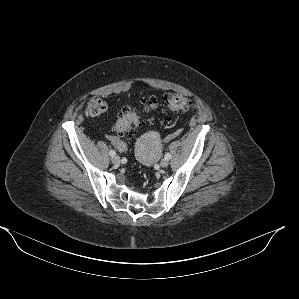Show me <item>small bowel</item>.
<instances>
[{
  "label": "small bowel",
  "instance_id": "c3829d8e",
  "mask_svg": "<svg viewBox=\"0 0 299 299\" xmlns=\"http://www.w3.org/2000/svg\"><path fill=\"white\" fill-rule=\"evenodd\" d=\"M139 106H142V103L139 104ZM107 139L116 147L117 142L120 140L117 136L114 135H108ZM120 151V150H119ZM123 152V151H121Z\"/></svg>",
  "mask_w": 299,
  "mask_h": 299
}]
</instances>
